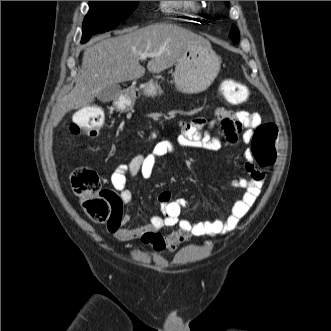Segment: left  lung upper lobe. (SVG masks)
I'll return each instance as SVG.
<instances>
[{
    "label": "left lung upper lobe",
    "mask_w": 331,
    "mask_h": 331,
    "mask_svg": "<svg viewBox=\"0 0 331 331\" xmlns=\"http://www.w3.org/2000/svg\"><path fill=\"white\" fill-rule=\"evenodd\" d=\"M226 4L228 5V1H225ZM230 38L233 40L234 43H238L239 41V30L237 29L236 26H232V30L229 34Z\"/></svg>",
    "instance_id": "1"
}]
</instances>
